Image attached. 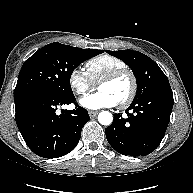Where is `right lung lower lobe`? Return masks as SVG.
Segmentation results:
<instances>
[{"label":"right lung lower lobe","instance_id":"right-lung-lower-lobe-1","mask_svg":"<svg viewBox=\"0 0 193 193\" xmlns=\"http://www.w3.org/2000/svg\"><path fill=\"white\" fill-rule=\"evenodd\" d=\"M70 103H75L74 95L64 97L48 91L34 92L15 101L18 129L38 156L61 157L78 144L81 130L90 117L80 106L56 114L58 106Z\"/></svg>","mask_w":193,"mask_h":193}]
</instances>
